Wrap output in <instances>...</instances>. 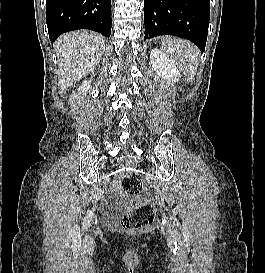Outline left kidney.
I'll return each mask as SVG.
<instances>
[{
	"mask_svg": "<svg viewBox=\"0 0 265 273\" xmlns=\"http://www.w3.org/2000/svg\"><path fill=\"white\" fill-rule=\"evenodd\" d=\"M150 62L153 70L158 76L169 82L176 83L181 77L180 72L173 61L161 50L152 49L150 53Z\"/></svg>",
	"mask_w": 265,
	"mask_h": 273,
	"instance_id": "left-kidney-1",
	"label": "left kidney"
}]
</instances>
